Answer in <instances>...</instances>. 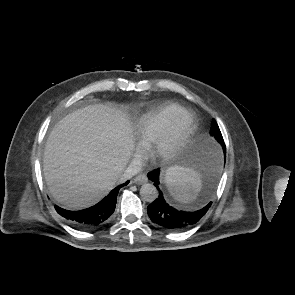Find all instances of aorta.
Segmentation results:
<instances>
[{
	"label": "aorta",
	"instance_id": "obj_1",
	"mask_svg": "<svg viewBox=\"0 0 295 295\" xmlns=\"http://www.w3.org/2000/svg\"><path fill=\"white\" fill-rule=\"evenodd\" d=\"M140 195L144 201L153 202L158 198V190L153 184L145 183L140 188Z\"/></svg>",
	"mask_w": 295,
	"mask_h": 295
}]
</instances>
